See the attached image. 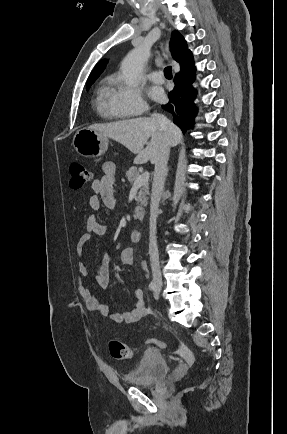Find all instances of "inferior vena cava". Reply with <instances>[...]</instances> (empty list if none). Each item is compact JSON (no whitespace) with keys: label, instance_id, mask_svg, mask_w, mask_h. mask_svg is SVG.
Returning <instances> with one entry per match:
<instances>
[{"label":"inferior vena cava","instance_id":"1","mask_svg":"<svg viewBox=\"0 0 287 434\" xmlns=\"http://www.w3.org/2000/svg\"><path fill=\"white\" fill-rule=\"evenodd\" d=\"M160 127L159 147L155 157V170L152 183V194L150 204V232H149V255L152 269L153 281L161 284L162 277L159 265V254L156 240V224L158 216V206L164 188L167 173V163L170 153V131L169 121L160 114H153Z\"/></svg>","mask_w":287,"mask_h":434}]
</instances>
